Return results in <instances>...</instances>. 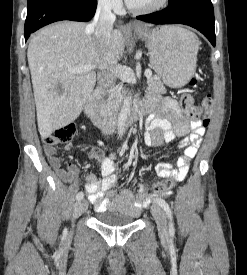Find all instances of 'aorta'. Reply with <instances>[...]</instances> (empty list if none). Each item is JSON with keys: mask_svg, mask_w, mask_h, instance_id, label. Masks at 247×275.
<instances>
[{"mask_svg": "<svg viewBox=\"0 0 247 275\" xmlns=\"http://www.w3.org/2000/svg\"><path fill=\"white\" fill-rule=\"evenodd\" d=\"M131 102H132V95H128V97L124 100V103L118 115L117 129L120 137H122L125 132V126H126L128 114L130 112Z\"/></svg>", "mask_w": 247, "mask_h": 275, "instance_id": "obj_1", "label": "aorta"}]
</instances>
